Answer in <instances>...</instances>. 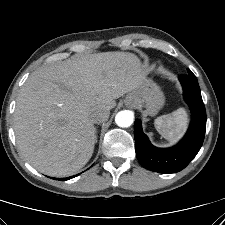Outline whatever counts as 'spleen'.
<instances>
[{"mask_svg":"<svg viewBox=\"0 0 225 225\" xmlns=\"http://www.w3.org/2000/svg\"><path fill=\"white\" fill-rule=\"evenodd\" d=\"M188 125V115L184 108L162 115L155 119V128L166 140L177 141L184 133Z\"/></svg>","mask_w":225,"mask_h":225,"instance_id":"obj_1","label":"spleen"}]
</instances>
